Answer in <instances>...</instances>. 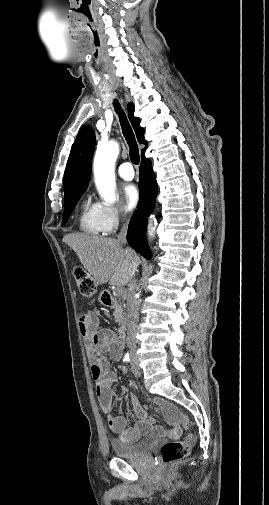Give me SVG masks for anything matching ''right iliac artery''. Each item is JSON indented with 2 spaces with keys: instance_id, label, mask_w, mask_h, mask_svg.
Returning <instances> with one entry per match:
<instances>
[{
  "instance_id": "obj_1",
  "label": "right iliac artery",
  "mask_w": 269,
  "mask_h": 505,
  "mask_svg": "<svg viewBox=\"0 0 269 505\" xmlns=\"http://www.w3.org/2000/svg\"><path fill=\"white\" fill-rule=\"evenodd\" d=\"M123 361L126 362V363L130 361V355H129V353H126L124 355Z\"/></svg>"
}]
</instances>
